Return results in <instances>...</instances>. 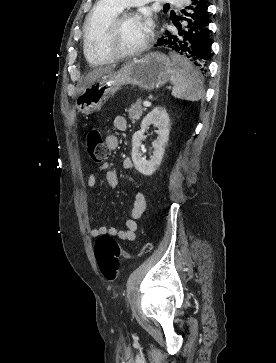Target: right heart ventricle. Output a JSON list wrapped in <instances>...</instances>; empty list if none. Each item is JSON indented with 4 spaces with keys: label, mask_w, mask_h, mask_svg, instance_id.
I'll use <instances>...</instances> for the list:
<instances>
[{
    "label": "right heart ventricle",
    "mask_w": 276,
    "mask_h": 363,
    "mask_svg": "<svg viewBox=\"0 0 276 363\" xmlns=\"http://www.w3.org/2000/svg\"><path fill=\"white\" fill-rule=\"evenodd\" d=\"M121 11L110 0H100L87 17L85 23L84 53L93 65H104L114 61L105 51L103 36L109 22Z\"/></svg>",
    "instance_id": "e07e8e85"
}]
</instances>
